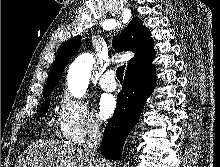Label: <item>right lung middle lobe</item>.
Returning a JSON list of instances; mask_svg holds the SVG:
<instances>
[{"mask_svg":"<svg viewBox=\"0 0 220 167\" xmlns=\"http://www.w3.org/2000/svg\"><path fill=\"white\" fill-rule=\"evenodd\" d=\"M50 103V98L46 99L41 106V115H45Z\"/></svg>","mask_w":220,"mask_h":167,"instance_id":"1","label":"right lung middle lobe"}]
</instances>
